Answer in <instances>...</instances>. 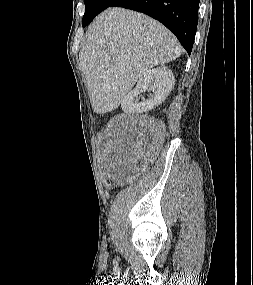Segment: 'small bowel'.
I'll return each mask as SVG.
<instances>
[{
    "label": "small bowel",
    "instance_id": "c3829d8e",
    "mask_svg": "<svg viewBox=\"0 0 253 285\" xmlns=\"http://www.w3.org/2000/svg\"><path fill=\"white\" fill-rule=\"evenodd\" d=\"M108 143H109V142H108ZM112 149H115V150H117V151H120V152H118V153H121V151H122L123 154H125V152L128 153V151H131V148H127V149H126L125 147H119V148H117V147H113V146L111 145V147H110V152L112 151ZM108 158L111 159L110 156H108Z\"/></svg>",
    "mask_w": 253,
    "mask_h": 285
}]
</instances>
